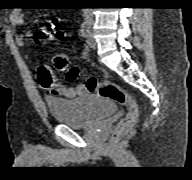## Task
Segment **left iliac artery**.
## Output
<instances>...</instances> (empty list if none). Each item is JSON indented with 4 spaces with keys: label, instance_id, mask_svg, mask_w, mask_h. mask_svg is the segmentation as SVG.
<instances>
[{
    "label": "left iliac artery",
    "instance_id": "1",
    "mask_svg": "<svg viewBox=\"0 0 192 180\" xmlns=\"http://www.w3.org/2000/svg\"><path fill=\"white\" fill-rule=\"evenodd\" d=\"M91 25H92V17L91 15L86 14L84 22L82 24V29H81L82 35L84 37H86L87 34L89 33Z\"/></svg>",
    "mask_w": 192,
    "mask_h": 180
}]
</instances>
